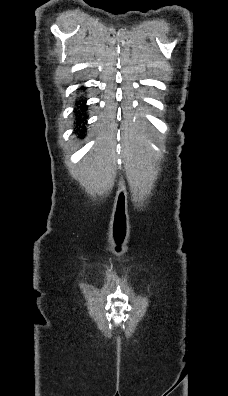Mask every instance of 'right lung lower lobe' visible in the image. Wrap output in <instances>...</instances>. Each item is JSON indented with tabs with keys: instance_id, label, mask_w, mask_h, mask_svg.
Wrapping results in <instances>:
<instances>
[{
	"instance_id": "98d812e1",
	"label": "right lung lower lobe",
	"mask_w": 228,
	"mask_h": 396,
	"mask_svg": "<svg viewBox=\"0 0 228 396\" xmlns=\"http://www.w3.org/2000/svg\"><path fill=\"white\" fill-rule=\"evenodd\" d=\"M80 90H85L83 87L80 88ZM86 100L85 99H80L76 104L79 105L77 109L74 111L75 117H76V132L78 133V136L82 137L83 134L86 131L85 123L87 119V106H86Z\"/></svg>"
}]
</instances>
